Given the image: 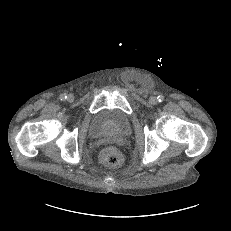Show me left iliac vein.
Listing matches in <instances>:
<instances>
[{"mask_svg":"<svg viewBox=\"0 0 231 231\" xmlns=\"http://www.w3.org/2000/svg\"><path fill=\"white\" fill-rule=\"evenodd\" d=\"M149 102H150V104L155 105L157 103V98L152 96L149 98Z\"/></svg>","mask_w":231,"mask_h":231,"instance_id":"left-iliac-vein-1","label":"left iliac vein"}]
</instances>
